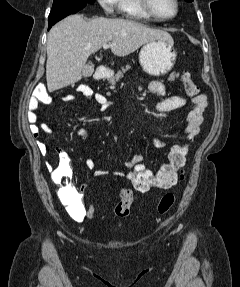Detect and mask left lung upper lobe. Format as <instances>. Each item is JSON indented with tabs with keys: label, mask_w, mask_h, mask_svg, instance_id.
<instances>
[{
	"label": "left lung upper lobe",
	"mask_w": 240,
	"mask_h": 287,
	"mask_svg": "<svg viewBox=\"0 0 240 287\" xmlns=\"http://www.w3.org/2000/svg\"><path fill=\"white\" fill-rule=\"evenodd\" d=\"M185 1H187V2H192L193 0H185Z\"/></svg>",
	"instance_id": "obj_1"
}]
</instances>
